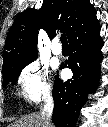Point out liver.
Segmentation results:
<instances>
[{
	"label": "liver",
	"mask_w": 108,
	"mask_h": 127,
	"mask_svg": "<svg viewBox=\"0 0 108 127\" xmlns=\"http://www.w3.org/2000/svg\"><path fill=\"white\" fill-rule=\"evenodd\" d=\"M8 127H46V124L41 113H32L9 124Z\"/></svg>",
	"instance_id": "obj_1"
}]
</instances>
